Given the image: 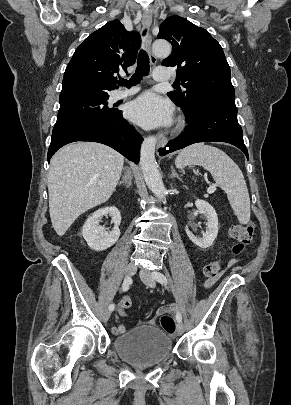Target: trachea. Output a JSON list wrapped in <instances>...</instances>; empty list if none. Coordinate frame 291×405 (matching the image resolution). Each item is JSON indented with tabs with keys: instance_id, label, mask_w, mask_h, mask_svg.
Instances as JSON below:
<instances>
[{
	"instance_id": "trachea-1",
	"label": "trachea",
	"mask_w": 291,
	"mask_h": 405,
	"mask_svg": "<svg viewBox=\"0 0 291 405\" xmlns=\"http://www.w3.org/2000/svg\"><path fill=\"white\" fill-rule=\"evenodd\" d=\"M145 31L143 32V35ZM150 65H149V57L144 50H140L139 56L137 59V67L135 73L132 75L129 81L125 79H120L118 81V85L131 87L133 85L138 84L143 76L149 75Z\"/></svg>"
}]
</instances>
